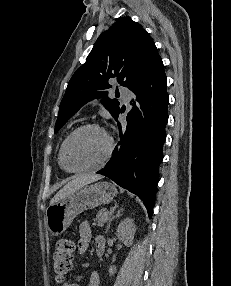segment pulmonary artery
<instances>
[{"label":"pulmonary artery","instance_id":"1","mask_svg":"<svg viewBox=\"0 0 231 286\" xmlns=\"http://www.w3.org/2000/svg\"><path fill=\"white\" fill-rule=\"evenodd\" d=\"M119 92H120L123 100L125 102H128L129 99H130V91H129V89L126 88V87L121 86V87H119Z\"/></svg>","mask_w":231,"mask_h":286}]
</instances>
